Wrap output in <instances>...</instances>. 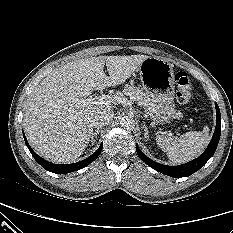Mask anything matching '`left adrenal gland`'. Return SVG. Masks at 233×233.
<instances>
[{"label": "left adrenal gland", "instance_id": "obj_1", "mask_svg": "<svg viewBox=\"0 0 233 233\" xmlns=\"http://www.w3.org/2000/svg\"><path fill=\"white\" fill-rule=\"evenodd\" d=\"M143 124H144L143 128H144V131H145V133H144V139H147L149 137L148 129L146 127L145 122H143Z\"/></svg>", "mask_w": 233, "mask_h": 233}]
</instances>
